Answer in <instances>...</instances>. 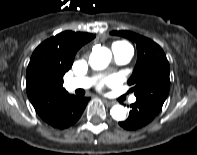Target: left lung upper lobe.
Segmentation results:
<instances>
[{"label": "left lung upper lobe", "instance_id": "1", "mask_svg": "<svg viewBox=\"0 0 197 155\" xmlns=\"http://www.w3.org/2000/svg\"><path fill=\"white\" fill-rule=\"evenodd\" d=\"M137 46L138 58L128 84L137 101L160 111L170 88V67L162 48L154 41L130 31H112Z\"/></svg>", "mask_w": 197, "mask_h": 155}]
</instances>
